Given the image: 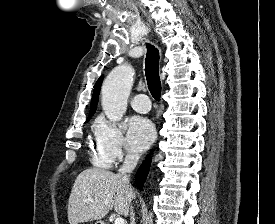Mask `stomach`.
<instances>
[{
  "label": "stomach",
  "mask_w": 275,
  "mask_h": 224,
  "mask_svg": "<svg viewBox=\"0 0 275 224\" xmlns=\"http://www.w3.org/2000/svg\"><path fill=\"white\" fill-rule=\"evenodd\" d=\"M95 224H104L103 222H96Z\"/></svg>",
  "instance_id": "0dacf381"
}]
</instances>
